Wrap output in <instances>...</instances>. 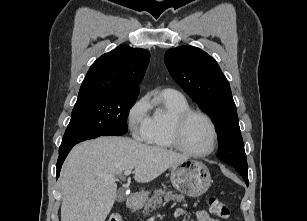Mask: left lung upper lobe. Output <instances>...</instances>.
<instances>
[{"label": "left lung upper lobe", "instance_id": "left-lung-upper-lobe-1", "mask_svg": "<svg viewBox=\"0 0 307 221\" xmlns=\"http://www.w3.org/2000/svg\"><path fill=\"white\" fill-rule=\"evenodd\" d=\"M164 60L174 81L214 121L219 141L218 158L235 169L248 172L236 106L216 60L190 45L168 50Z\"/></svg>", "mask_w": 307, "mask_h": 221}]
</instances>
